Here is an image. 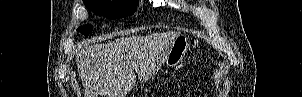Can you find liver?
Here are the masks:
<instances>
[{
    "mask_svg": "<svg viewBox=\"0 0 302 97\" xmlns=\"http://www.w3.org/2000/svg\"><path fill=\"white\" fill-rule=\"evenodd\" d=\"M179 32L120 37L85 46L76 56L85 97H125L140 77L160 69Z\"/></svg>",
    "mask_w": 302,
    "mask_h": 97,
    "instance_id": "1",
    "label": "liver"
}]
</instances>
